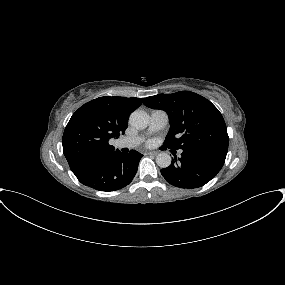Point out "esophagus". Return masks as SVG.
<instances>
[{
    "instance_id": "obj_1",
    "label": "esophagus",
    "mask_w": 285,
    "mask_h": 285,
    "mask_svg": "<svg viewBox=\"0 0 285 285\" xmlns=\"http://www.w3.org/2000/svg\"><path fill=\"white\" fill-rule=\"evenodd\" d=\"M146 154L149 156H156L158 153L155 151H150V152H147Z\"/></svg>"
}]
</instances>
